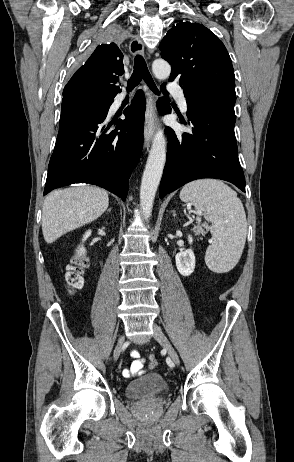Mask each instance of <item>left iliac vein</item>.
I'll return each mask as SVG.
<instances>
[{
    "instance_id": "4c4485c4",
    "label": "left iliac vein",
    "mask_w": 294,
    "mask_h": 462,
    "mask_svg": "<svg viewBox=\"0 0 294 462\" xmlns=\"http://www.w3.org/2000/svg\"><path fill=\"white\" fill-rule=\"evenodd\" d=\"M153 337L166 349L169 357L173 361V364L179 365L180 359L178 354L176 353L175 349L173 348L167 337L162 332L161 328L156 324H153Z\"/></svg>"
}]
</instances>
